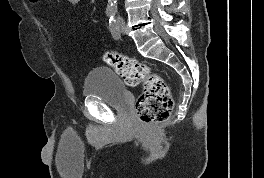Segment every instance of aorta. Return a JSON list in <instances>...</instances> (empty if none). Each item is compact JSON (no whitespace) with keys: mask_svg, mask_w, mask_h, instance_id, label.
<instances>
[{"mask_svg":"<svg viewBox=\"0 0 264 178\" xmlns=\"http://www.w3.org/2000/svg\"><path fill=\"white\" fill-rule=\"evenodd\" d=\"M107 10H117V0H108Z\"/></svg>","mask_w":264,"mask_h":178,"instance_id":"aorta-1","label":"aorta"}]
</instances>
